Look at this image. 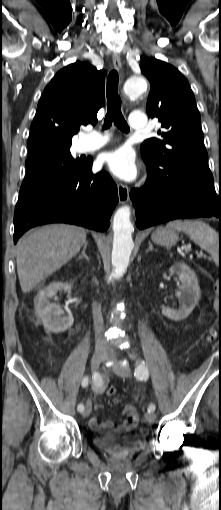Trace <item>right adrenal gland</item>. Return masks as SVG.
I'll return each instance as SVG.
<instances>
[{
	"mask_svg": "<svg viewBox=\"0 0 221 510\" xmlns=\"http://www.w3.org/2000/svg\"><path fill=\"white\" fill-rule=\"evenodd\" d=\"M87 246H88V243L86 242L83 246V250H82L81 254L77 257L76 260H81V259L85 258L87 261H89V257L86 255Z\"/></svg>",
	"mask_w": 221,
	"mask_h": 510,
	"instance_id": "right-adrenal-gland-1",
	"label": "right adrenal gland"
}]
</instances>
